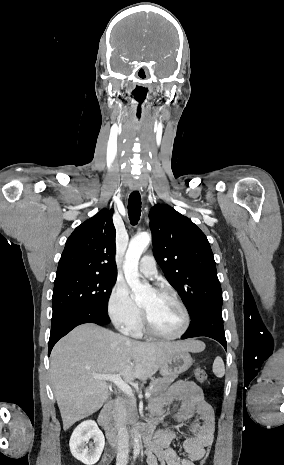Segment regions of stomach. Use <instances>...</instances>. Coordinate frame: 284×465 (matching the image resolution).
I'll return each instance as SVG.
<instances>
[{
	"label": "stomach",
	"mask_w": 284,
	"mask_h": 465,
	"mask_svg": "<svg viewBox=\"0 0 284 465\" xmlns=\"http://www.w3.org/2000/svg\"><path fill=\"white\" fill-rule=\"evenodd\" d=\"M193 365V359L188 351H177L168 357L167 361L160 367L162 375L169 373H184Z\"/></svg>",
	"instance_id": "0dacf381"
}]
</instances>
